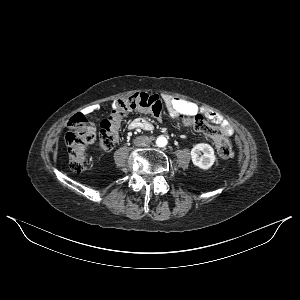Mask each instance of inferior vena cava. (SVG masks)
<instances>
[{
    "instance_id": "inferior-vena-cava-1",
    "label": "inferior vena cava",
    "mask_w": 300,
    "mask_h": 300,
    "mask_svg": "<svg viewBox=\"0 0 300 300\" xmlns=\"http://www.w3.org/2000/svg\"><path fill=\"white\" fill-rule=\"evenodd\" d=\"M133 143L137 147H146L150 145L151 140L147 136H139L134 139Z\"/></svg>"
}]
</instances>
